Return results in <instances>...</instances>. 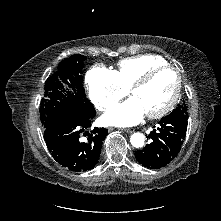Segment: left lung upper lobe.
Here are the masks:
<instances>
[{
  "mask_svg": "<svg viewBox=\"0 0 221 221\" xmlns=\"http://www.w3.org/2000/svg\"><path fill=\"white\" fill-rule=\"evenodd\" d=\"M178 108L183 109V110H187V107L185 104L179 105L176 109H178Z\"/></svg>",
  "mask_w": 221,
  "mask_h": 221,
  "instance_id": "5c2ea615",
  "label": "left lung upper lobe"
}]
</instances>
